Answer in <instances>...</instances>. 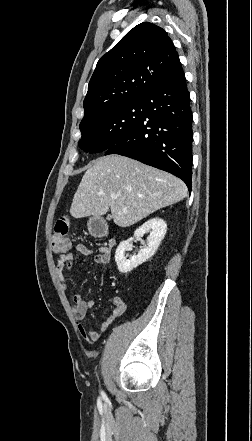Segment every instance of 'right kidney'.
Instances as JSON below:
<instances>
[{"label": "right kidney", "instance_id": "right-kidney-1", "mask_svg": "<svg viewBox=\"0 0 252 441\" xmlns=\"http://www.w3.org/2000/svg\"><path fill=\"white\" fill-rule=\"evenodd\" d=\"M148 231H150V234L147 237L148 246L142 248L137 255H133L129 259H127L125 256V251L128 250L130 242L133 240V238L122 241L117 247L115 252V261L118 270L121 273L130 272L155 254L166 234L167 224L159 217L152 218L139 227L135 231L134 236L142 237Z\"/></svg>", "mask_w": 252, "mask_h": 441}]
</instances>
